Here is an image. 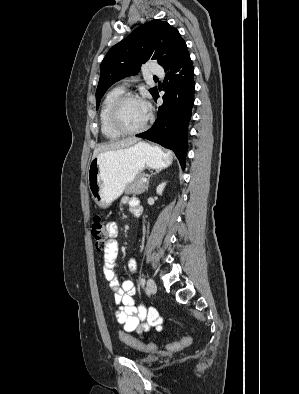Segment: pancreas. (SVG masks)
<instances>
[{
  "label": "pancreas",
  "instance_id": "1",
  "mask_svg": "<svg viewBox=\"0 0 299 394\" xmlns=\"http://www.w3.org/2000/svg\"><path fill=\"white\" fill-rule=\"evenodd\" d=\"M145 178V174L141 173L139 174L133 183L128 184L125 188V193L126 194H134V195H139L142 194L145 189H146V183H143V179Z\"/></svg>",
  "mask_w": 299,
  "mask_h": 394
}]
</instances>
